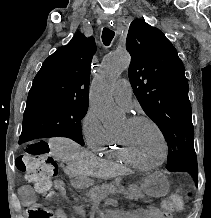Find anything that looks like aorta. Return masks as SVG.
<instances>
[{"label": "aorta", "instance_id": "aorta-1", "mask_svg": "<svg viewBox=\"0 0 211 218\" xmlns=\"http://www.w3.org/2000/svg\"><path fill=\"white\" fill-rule=\"evenodd\" d=\"M130 55L116 52L104 58L90 90V104L103 126L109 131L122 129L125 117L116 107L111 87L121 73L129 67Z\"/></svg>", "mask_w": 211, "mask_h": 218}]
</instances>
